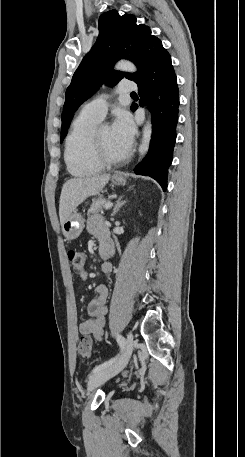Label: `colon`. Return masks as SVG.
I'll use <instances>...</instances> for the list:
<instances>
[{
  "label": "colon",
  "mask_w": 245,
  "mask_h": 457,
  "mask_svg": "<svg viewBox=\"0 0 245 457\" xmlns=\"http://www.w3.org/2000/svg\"><path fill=\"white\" fill-rule=\"evenodd\" d=\"M68 259L72 266V269L76 273H81L85 265V256L82 252L76 249H70L67 252ZM78 353L83 359H89L92 355V342L87 336H83L78 341L77 345Z\"/></svg>",
  "instance_id": "colon-1"
}]
</instances>
